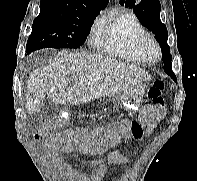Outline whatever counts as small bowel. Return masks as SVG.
<instances>
[{
	"label": "small bowel",
	"instance_id": "small-bowel-1",
	"mask_svg": "<svg viewBox=\"0 0 197 181\" xmlns=\"http://www.w3.org/2000/svg\"><path fill=\"white\" fill-rule=\"evenodd\" d=\"M83 153L88 155L89 158L81 160L78 159L75 155H71V157L76 159L77 162L83 167H93L96 169V173L91 178V181H100L101 177L106 173L107 170L111 169L112 166L127 162V158L118 151L111 152L106 160H103L102 158L98 157V154L92 151H85ZM51 155L68 175H74V172L71 170L70 166L64 160L60 159L56 153L53 152Z\"/></svg>",
	"mask_w": 197,
	"mask_h": 181
}]
</instances>
